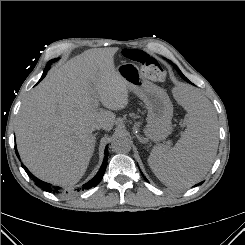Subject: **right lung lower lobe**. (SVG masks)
I'll use <instances>...</instances> for the list:
<instances>
[{"label":"right lung lower lobe","instance_id":"obj_1","mask_svg":"<svg viewBox=\"0 0 245 245\" xmlns=\"http://www.w3.org/2000/svg\"><path fill=\"white\" fill-rule=\"evenodd\" d=\"M51 63H52V60H50V61L47 63V66H46L45 69H44V72H43V74H42V76H41L40 81H41V80L45 77V75L47 74L48 70L50 69ZM15 149H16V147H15ZM16 155H17L18 158H19V154H18L17 151H16ZM107 159H108V145H107L106 148H105V157H104V161H103V164H102V166H101L99 172L96 174V176H95L94 178H92L89 182H87V183H85V184L83 185V190H84V189H89V188H91V187H95V186H97V185L99 184V182L102 180L103 175H104L105 170H106ZM22 167H24V166L22 165ZM24 168H25L26 172L28 173V175L31 176V177L33 178V180L35 181V183H36L37 185H39L40 187H42L44 191H48V192L52 191V192H55V193H59V192H60V187H54V186H51V185L48 184V183H45V182L39 180V179L36 178L34 175H32L26 167H24ZM78 191H79V190H78Z\"/></svg>","mask_w":245,"mask_h":245}]
</instances>
